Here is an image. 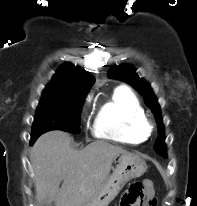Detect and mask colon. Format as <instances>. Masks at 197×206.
Here are the masks:
<instances>
[{
    "instance_id": "obj_1",
    "label": "colon",
    "mask_w": 197,
    "mask_h": 206,
    "mask_svg": "<svg viewBox=\"0 0 197 206\" xmlns=\"http://www.w3.org/2000/svg\"><path fill=\"white\" fill-rule=\"evenodd\" d=\"M155 198L151 189L147 187L146 183L143 186L141 183H134L127 190L122 199L121 206H133L135 204H144L153 206Z\"/></svg>"
}]
</instances>
